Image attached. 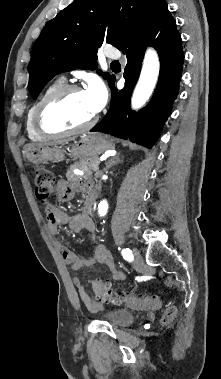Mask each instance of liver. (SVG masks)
Masks as SVG:
<instances>
[{"label": "liver", "instance_id": "1", "mask_svg": "<svg viewBox=\"0 0 221 379\" xmlns=\"http://www.w3.org/2000/svg\"><path fill=\"white\" fill-rule=\"evenodd\" d=\"M71 139H68V140H64V141H58V142H55V143H50L51 145H54V144H60V143H64V142H67ZM40 145H46V144H40Z\"/></svg>", "mask_w": 221, "mask_h": 379}]
</instances>
